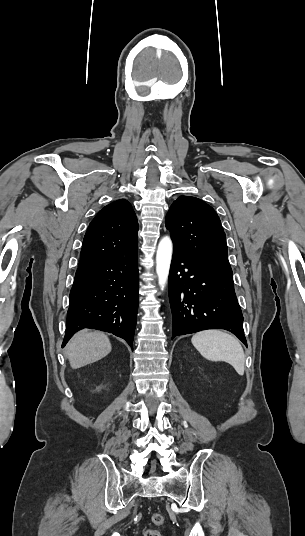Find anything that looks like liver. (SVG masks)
I'll return each mask as SVG.
<instances>
[{
	"label": "liver",
	"instance_id": "6515ba94",
	"mask_svg": "<svg viewBox=\"0 0 305 536\" xmlns=\"http://www.w3.org/2000/svg\"><path fill=\"white\" fill-rule=\"evenodd\" d=\"M71 368H83L110 354L112 346L103 332H77L65 348Z\"/></svg>",
	"mask_w": 305,
	"mask_h": 536
}]
</instances>
